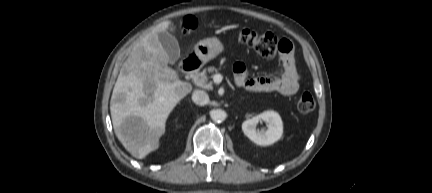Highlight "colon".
Returning a JSON list of instances; mask_svg holds the SVG:
<instances>
[{"instance_id":"colon-1","label":"colon","mask_w":432,"mask_h":193,"mask_svg":"<svg viewBox=\"0 0 432 193\" xmlns=\"http://www.w3.org/2000/svg\"><path fill=\"white\" fill-rule=\"evenodd\" d=\"M196 27V20L185 17L181 22L184 31H191ZM240 42L251 48L258 55L271 58L277 54L289 55L292 52V45L288 40H279L273 33H258L250 29H243L239 34ZM298 109L302 113L311 112L315 106V98L310 92H304L298 100Z\"/></svg>"}]
</instances>
